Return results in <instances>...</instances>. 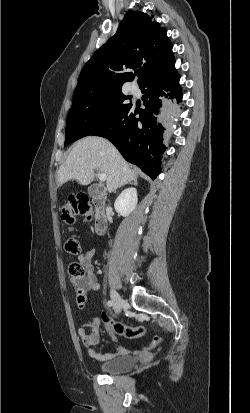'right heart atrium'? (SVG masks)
<instances>
[{
    "instance_id": "right-heart-atrium-1",
    "label": "right heart atrium",
    "mask_w": 250,
    "mask_h": 413,
    "mask_svg": "<svg viewBox=\"0 0 250 413\" xmlns=\"http://www.w3.org/2000/svg\"><path fill=\"white\" fill-rule=\"evenodd\" d=\"M107 110V106L106 105H100L97 109V113L98 115H103Z\"/></svg>"
}]
</instances>
